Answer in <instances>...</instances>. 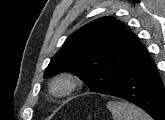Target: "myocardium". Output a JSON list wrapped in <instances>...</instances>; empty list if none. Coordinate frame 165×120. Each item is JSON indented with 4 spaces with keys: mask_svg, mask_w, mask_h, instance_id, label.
Instances as JSON below:
<instances>
[{
    "mask_svg": "<svg viewBox=\"0 0 165 120\" xmlns=\"http://www.w3.org/2000/svg\"><path fill=\"white\" fill-rule=\"evenodd\" d=\"M79 85V80L70 73H64L55 77L51 83L53 94L64 97L71 94Z\"/></svg>",
    "mask_w": 165,
    "mask_h": 120,
    "instance_id": "1",
    "label": "myocardium"
}]
</instances>
